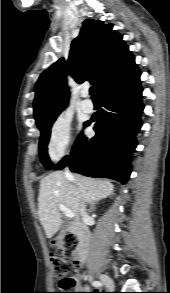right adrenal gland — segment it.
<instances>
[{"label":"right adrenal gland","instance_id":"1","mask_svg":"<svg viewBox=\"0 0 170 293\" xmlns=\"http://www.w3.org/2000/svg\"><path fill=\"white\" fill-rule=\"evenodd\" d=\"M97 203V201H94L92 204H91V207H90V210H93L95 208V204Z\"/></svg>","mask_w":170,"mask_h":293}]
</instances>
